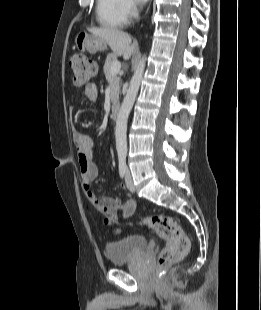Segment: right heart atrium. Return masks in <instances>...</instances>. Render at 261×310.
<instances>
[{
    "label": "right heart atrium",
    "instance_id": "d8ad5b80",
    "mask_svg": "<svg viewBox=\"0 0 261 310\" xmlns=\"http://www.w3.org/2000/svg\"><path fill=\"white\" fill-rule=\"evenodd\" d=\"M121 1V12L128 22L135 17L137 14V6L133 0H120Z\"/></svg>",
    "mask_w": 261,
    "mask_h": 310
}]
</instances>
